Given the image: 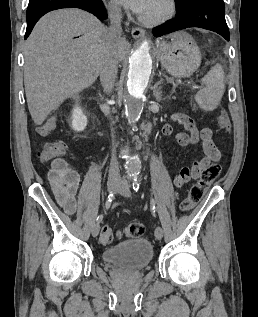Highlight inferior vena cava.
I'll return each instance as SVG.
<instances>
[{
    "mask_svg": "<svg viewBox=\"0 0 258 317\" xmlns=\"http://www.w3.org/2000/svg\"><path fill=\"white\" fill-rule=\"evenodd\" d=\"M108 10L110 16V26L109 28H107L105 52L102 56L100 66V80L102 82V86H104L105 92H111L114 86L115 78H117V46L122 32L120 6H118V4H109ZM112 138H114L113 132ZM108 177L110 180H119L121 177L118 167V161L115 156V146H113L112 150V159L110 163V172Z\"/></svg>",
    "mask_w": 258,
    "mask_h": 317,
    "instance_id": "1",
    "label": "inferior vena cava"
}]
</instances>
